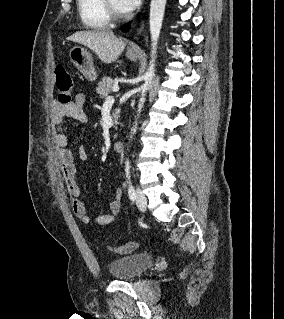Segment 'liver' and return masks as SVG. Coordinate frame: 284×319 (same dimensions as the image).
I'll return each mask as SVG.
<instances>
[{
  "label": "liver",
  "mask_w": 284,
  "mask_h": 319,
  "mask_svg": "<svg viewBox=\"0 0 284 319\" xmlns=\"http://www.w3.org/2000/svg\"><path fill=\"white\" fill-rule=\"evenodd\" d=\"M67 40L87 46L106 64L114 62L126 46V43L110 30L78 31Z\"/></svg>",
  "instance_id": "1"
}]
</instances>
